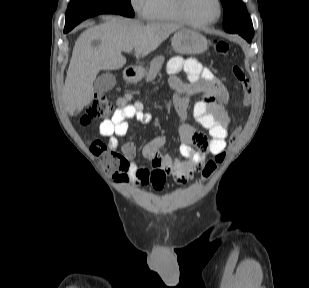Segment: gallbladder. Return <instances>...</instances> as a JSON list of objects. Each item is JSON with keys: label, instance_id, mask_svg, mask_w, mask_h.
<instances>
[{"label": "gallbladder", "instance_id": "obj_1", "mask_svg": "<svg viewBox=\"0 0 309 288\" xmlns=\"http://www.w3.org/2000/svg\"><path fill=\"white\" fill-rule=\"evenodd\" d=\"M116 84V78L111 73L100 75L94 82V90L97 93L108 92L113 89Z\"/></svg>", "mask_w": 309, "mask_h": 288}]
</instances>
